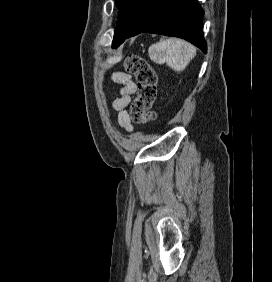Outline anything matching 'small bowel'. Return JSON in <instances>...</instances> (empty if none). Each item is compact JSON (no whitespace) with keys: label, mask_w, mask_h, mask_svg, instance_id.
Wrapping results in <instances>:
<instances>
[{"label":"small bowel","mask_w":272,"mask_h":282,"mask_svg":"<svg viewBox=\"0 0 272 282\" xmlns=\"http://www.w3.org/2000/svg\"><path fill=\"white\" fill-rule=\"evenodd\" d=\"M111 80L121 84L119 97L112 103L113 109L118 113V122L126 130L131 131L133 129V125L131 123L127 107L129 106L133 95L137 91V85L129 75L122 72L113 73Z\"/></svg>","instance_id":"1"}]
</instances>
